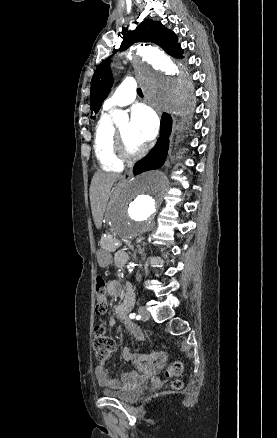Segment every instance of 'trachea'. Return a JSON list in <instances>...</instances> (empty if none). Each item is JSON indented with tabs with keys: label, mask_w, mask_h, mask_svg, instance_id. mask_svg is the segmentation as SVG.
Masks as SVG:
<instances>
[{
	"label": "trachea",
	"mask_w": 277,
	"mask_h": 438,
	"mask_svg": "<svg viewBox=\"0 0 277 438\" xmlns=\"http://www.w3.org/2000/svg\"><path fill=\"white\" fill-rule=\"evenodd\" d=\"M137 93H138L140 96L143 95V94H142V90H141V88H138V89H137Z\"/></svg>",
	"instance_id": "obj_1"
}]
</instances>
